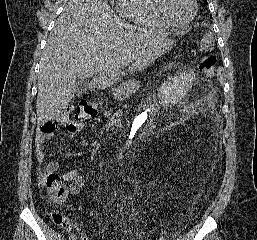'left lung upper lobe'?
Listing matches in <instances>:
<instances>
[{
  "label": "left lung upper lobe",
  "mask_w": 257,
  "mask_h": 240,
  "mask_svg": "<svg viewBox=\"0 0 257 240\" xmlns=\"http://www.w3.org/2000/svg\"><path fill=\"white\" fill-rule=\"evenodd\" d=\"M208 3L205 1V5H207Z\"/></svg>",
  "instance_id": "1"
}]
</instances>
